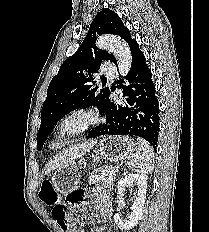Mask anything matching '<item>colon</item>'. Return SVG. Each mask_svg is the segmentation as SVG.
<instances>
[{"mask_svg":"<svg viewBox=\"0 0 209 232\" xmlns=\"http://www.w3.org/2000/svg\"><path fill=\"white\" fill-rule=\"evenodd\" d=\"M69 194V193H68ZM39 197L43 203L51 207L52 217L62 227L67 228L68 221L66 217L65 205L60 202L58 194L54 191L50 181L45 180L42 183Z\"/></svg>","mask_w":209,"mask_h":232,"instance_id":"5ec220e1","label":"colon"}]
</instances>
